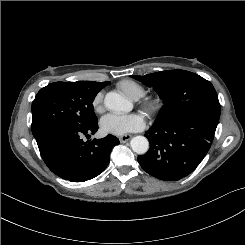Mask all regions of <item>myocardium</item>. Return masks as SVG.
Instances as JSON below:
<instances>
[{
  "mask_svg": "<svg viewBox=\"0 0 245 245\" xmlns=\"http://www.w3.org/2000/svg\"><path fill=\"white\" fill-rule=\"evenodd\" d=\"M141 109L149 116H157L163 108V100L156 95L142 98L139 102Z\"/></svg>",
  "mask_w": 245,
  "mask_h": 245,
  "instance_id": "1",
  "label": "myocardium"
}]
</instances>
